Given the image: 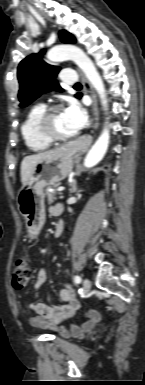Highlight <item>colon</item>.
<instances>
[{"instance_id": "5ec220e1", "label": "colon", "mask_w": 145, "mask_h": 385, "mask_svg": "<svg viewBox=\"0 0 145 385\" xmlns=\"http://www.w3.org/2000/svg\"><path fill=\"white\" fill-rule=\"evenodd\" d=\"M31 276L29 260L21 257L17 260L13 272V286L16 289H23L27 286Z\"/></svg>"}]
</instances>
